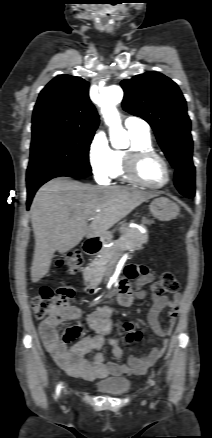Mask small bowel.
I'll return each instance as SVG.
<instances>
[{
  "instance_id": "1",
  "label": "small bowel",
  "mask_w": 212,
  "mask_h": 438,
  "mask_svg": "<svg viewBox=\"0 0 212 438\" xmlns=\"http://www.w3.org/2000/svg\"><path fill=\"white\" fill-rule=\"evenodd\" d=\"M125 276L128 279L137 278L135 289H131L126 282L121 284L118 293V302L123 307H128L133 300H146L152 302L148 311V322L153 333L160 337L166 338L171 334L175 324L178 309L181 301V294L176 293L172 299L165 296L153 295L151 297L140 287L154 280V275L145 265H128L125 269ZM168 308L169 324L164 325L160 322L161 312ZM114 310L109 307L98 308L84 318L91 330L95 332L94 336H85L71 346L60 338L56 331V326L61 322L77 321L83 319L80 310L76 307L63 304L58 313L57 321H43L39 325V332L49 353L55 362L67 374L73 377L82 378L87 381L104 378L108 375L120 376L123 374H142L149 367L160 359L165 351L167 341L165 340L160 346L152 348L148 353L142 356L129 355L127 362L123 361V349L118 340L109 337L113 329L111 316ZM127 331L131 330L129 324H123ZM141 338L140 332H129L126 335L128 343L136 342ZM108 346L113 356V361H105V354L102 349ZM94 353L93 358L88 359V355Z\"/></svg>"
}]
</instances>
